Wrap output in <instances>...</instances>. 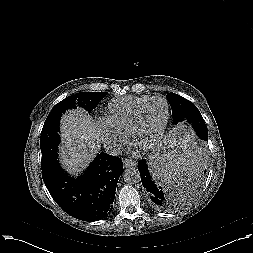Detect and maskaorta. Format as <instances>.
Returning <instances> with one entry per match:
<instances>
[{
	"label": "aorta",
	"mask_w": 253,
	"mask_h": 253,
	"mask_svg": "<svg viewBox=\"0 0 253 253\" xmlns=\"http://www.w3.org/2000/svg\"><path fill=\"white\" fill-rule=\"evenodd\" d=\"M123 179L128 184L137 183L140 180V173L135 167L127 168L123 173Z\"/></svg>",
	"instance_id": "obj_1"
}]
</instances>
